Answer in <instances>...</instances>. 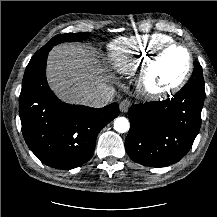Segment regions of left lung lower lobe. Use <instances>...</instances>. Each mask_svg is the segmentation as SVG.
<instances>
[{"label": "left lung lower lobe", "instance_id": "1", "mask_svg": "<svg viewBox=\"0 0 217 217\" xmlns=\"http://www.w3.org/2000/svg\"><path fill=\"white\" fill-rule=\"evenodd\" d=\"M204 99L205 90L188 82L171 99L132 106L125 141L130 158L152 167H165L181 160L199 132Z\"/></svg>", "mask_w": 217, "mask_h": 217}]
</instances>
